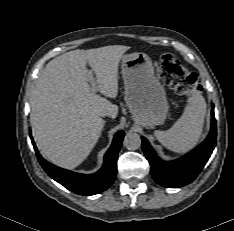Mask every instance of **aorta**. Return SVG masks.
I'll list each match as a JSON object with an SVG mask.
<instances>
[{
    "instance_id": "obj_1",
    "label": "aorta",
    "mask_w": 234,
    "mask_h": 231,
    "mask_svg": "<svg viewBox=\"0 0 234 231\" xmlns=\"http://www.w3.org/2000/svg\"><path fill=\"white\" fill-rule=\"evenodd\" d=\"M123 145L128 150H137L141 146V138L139 134L135 132H128L123 140Z\"/></svg>"
}]
</instances>
